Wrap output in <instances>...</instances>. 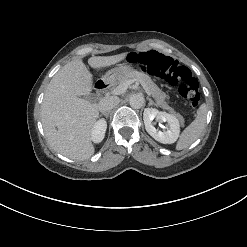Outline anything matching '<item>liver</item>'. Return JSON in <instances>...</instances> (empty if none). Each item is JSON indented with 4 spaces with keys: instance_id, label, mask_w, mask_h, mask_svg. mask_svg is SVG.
Wrapping results in <instances>:
<instances>
[{
    "instance_id": "obj_1",
    "label": "liver",
    "mask_w": 247,
    "mask_h": 247,
    "mask_svg": "<svg viewBox=\"0 0 247 247\" xmlns=\"http://www.w3.org/2000/svg\"><path fill=\"white\" fill-rule=\"evenodd\" d=\"M127 53L92 56L94 68L114 65ZM92 74L81 59L63 66L51 79L41 105V122L50 146L58 153L77 161L89 159L95 152L91 131L99 116L96 103L81 98L93 89Z\"/></svg>"
}]
</instances>
